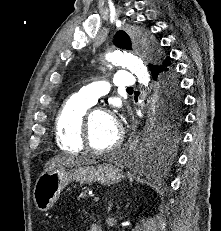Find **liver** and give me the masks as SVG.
Instances as JSON below:
<instances>
[{
	"label": "liver",
	"instance_id": "1",
	"mask_svg": "<svg viewBox=\"0 0 221 231\" xmlns=\"http://www.w3.org/2000/svg\"><path fill=\"white\" fill-rule=\"evenodd\" d=\"M92 163H95V161L83 157L55 156L46 163L43 173L51 172L58 168L77 167L81 165H89Z\"/></svg>",
	"mask_w": 221,
	"mask_h": 231
}]
</instances>
